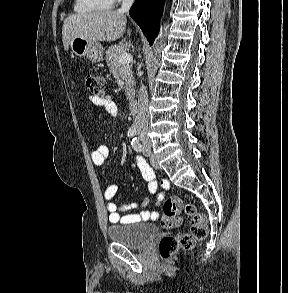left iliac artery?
Segmentation results:
<instances>
[{"label": "left iliac artery", "mask_w": 288, "mask_h": 293, "mask_svg": "<svg viewBox=\"0 0 288 293\" xmlns=\"http://www.w3.org/2000/svg\"><path fill=\"white\" fill-rule=\"evenodd\" d=\"M132 147L136 150V151H142L143 147L141 146V144L139 143L137 138H134L131 142Z\"/></svg>", "instance_id": "44dca946"}]
</instances>
